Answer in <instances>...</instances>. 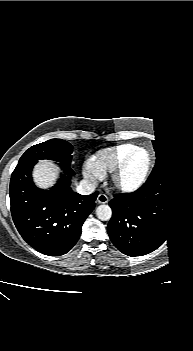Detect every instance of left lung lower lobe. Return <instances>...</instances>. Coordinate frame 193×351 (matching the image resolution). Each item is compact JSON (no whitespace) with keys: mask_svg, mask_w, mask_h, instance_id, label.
Instances as JSON below:
<instances>
[{"mask_svg":"<svg viewBox=\"0 0 193 351\" xmlns=\"http://www.w3.org/2000/svg\"><path fill=\"white\" fill-rule=\"evenodd\" d=\"M185 189V176L172 171L147 179L134 192L114 194L107 226L113 245L132 257L159 248L176 230Z\"/></svg>","mask_w":193,"mask_h":351,"instance_id":"0a47b994","label":"left lung lower lobe"}]
</instances>
